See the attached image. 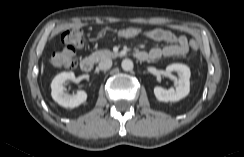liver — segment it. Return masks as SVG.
<instances>
[{
  "label": "liver",
  "mask_w": 244,
  "mask_h": 157,
  "mask_svg": "<svg viewBox=\"0 0 244 157\" xmlns=\"http://www.w3.org/2000/svg\"><path fill=\"white\" fill-rule=\"evenodd\" d=\"M43 68H44V66L42 65V67H41V73H43Z\"/></svg>",
  "instance_id": "liver-1"
}]
</instances>
